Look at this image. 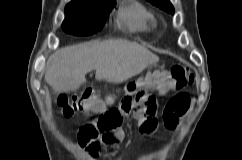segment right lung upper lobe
I'll list each match as a JSON object with an SVG mask.
<instances>
[{"instance_id": "obj_1", "label": "right lung upper lobe", "mask_w": 242, "mask_h": 160, "mask_svg": "<svg viewBox=\"0 0 242 160\" xmlns=\"http://www.w3.org/2000/svg\"><path fill=\"white\" fill-rule=\"evenodd\" d=\"M99 1V0H72L69 4L71 5H81V4H87L90 2Z\"/></svg>"}]
</instances>
